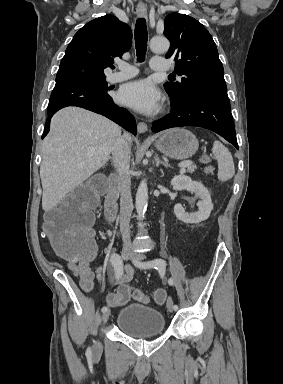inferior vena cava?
<instances>
[{
    "instance_id": "602c4592",
    "label": "inferior vena cava",
    "mask_w": 283,
    "mask_h": 384,
    "mask_svg": "<svg viewBox=\"0 0 283 384\" xmlns=\"http://www.w3.org/2000/svg\"><path fill=\"white\" fill-rule=\"evenodd\" d=\"M129 140H131L130 136L123 134L111 148L114 166L120 178V232L124 248H131L129 224L133 210L131 180L128 174L131 154Z\"/></svg>"
}]
</instances>
